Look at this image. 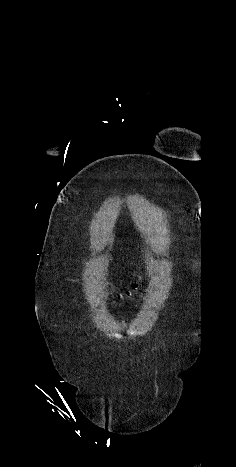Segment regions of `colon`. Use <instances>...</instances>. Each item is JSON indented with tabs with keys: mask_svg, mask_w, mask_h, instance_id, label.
Wrapping results in <instances>:
<instances>
[{
	"mask_svg": "<svg viewBox=\"0 0 236 467\" xmlns=\"http://www.w3.org/2000/svg\"><path fill=\"white\" fill-rule=\"evenodd\" d=\"M129 294H130V292H129V291H127V292H126V295H129Z\"/></svg>",
	"mask_w": 236,
	"mask_h": 467,
	"instance_id": "colon-1",
	"label": "colon"
}]
</instances>
